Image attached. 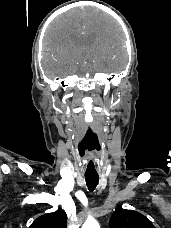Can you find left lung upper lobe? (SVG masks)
Instances as JSON below:
<instances>
[{"instance_id": "left-lung-upper-lobe-1", "label": "left lung upper lobe", "mask_w": 171, "mask_h": 228, "mask_svg": "<svg viewBox=\"0 0 171 228\" xmlns=\"http://www.w3.org/2000/svg\"><path fill=\"white\" fill-rule=\"evenodd\" d=\"M110 228H155L148 218L133 210L117 209L110 219Z\"/></svg>"}]
</instances>
